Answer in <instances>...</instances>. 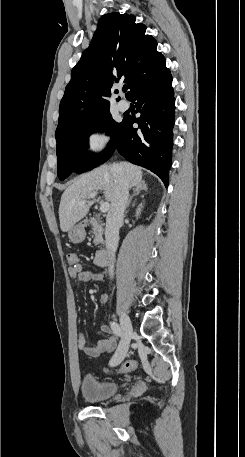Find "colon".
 Segmentation results:
<instances>
[{
  "label": "colon",
  "mask_w": 245,
  "mask_h": 457,
  "mask_svg": "<svg viewBox=\"0 0 245 457\" xmlns=\"http://www.w3.org/2000/svg\"><path fill=\"white\" fill-rule=\"evenodd\" d=\"M67 260H68V263L69 265L72 267V268H78L79 267V264H78V258H77V255L74 254V253H69L67 255ZM137 364H136V361L135 360H131V359H128V360H125L124 362H122L117 368L116 370L118 372H129V371H132L136 368Z\"/></svg>",
  "instance_id": "obj_1"
}]
</instances>
